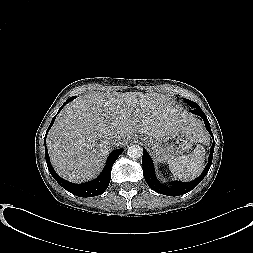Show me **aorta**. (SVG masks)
<instances>
[{
  "label": "aorta",
  "instance_id": "1",
  "mask_svg": "<svg viewBox=\"0 0 253 253\" xmlns=\"http://www.w3.org/2000/svg\"><path fill=\"white\" fill-rule=\"evenodd\" d=\"M127 155L133 159L140 158L143 155V149L139 145H131L128 147Z\"/></svg>",
  "mask_w": 253,
  "mask_h": 253
}]
</instances>
